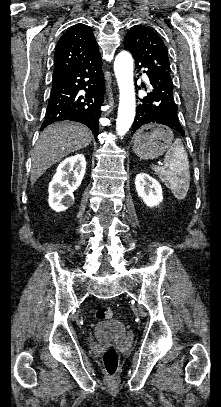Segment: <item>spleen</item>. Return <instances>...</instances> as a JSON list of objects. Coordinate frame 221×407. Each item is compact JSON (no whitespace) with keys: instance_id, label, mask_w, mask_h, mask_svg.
<instances>
[{"instance_id":"1","label":"spleen","mask_w":221,"mask_h":407,"mask_svg":"<svg viewBox=\"0 0 221 407\" xmlns=\"http://www.w3.org/2000/svg\"><path fill=\"white\" fill-rule=\"evenodd\" d=\"M161 181L178 200H183L190 185L188 155L181 139H176L168 149L164 166H151Z\"/></svg>"}]
</instances>
